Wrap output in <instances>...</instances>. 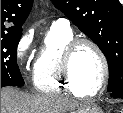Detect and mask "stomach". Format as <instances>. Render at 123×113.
I'll use <instances>...</instances> for the list:
<instances>
[{"label":"stomach","mask_w":123,"mask_h":113,"mask_svg":"<svg viewBox=\"0 0 123 113\" xmlns=\"http://www.w3.org/2000/svg\"><path fill=\"white\" fill-rule=\"evenodd\" d=\"M74 113H102V110L96 106H89L83 109H79L75 111Z\"/></svg>","instance_id":"1"}]
</instances>
